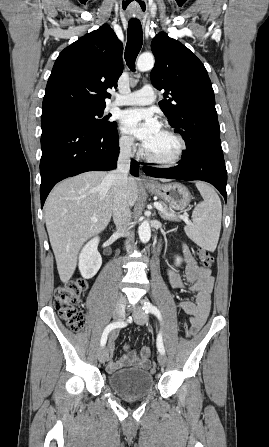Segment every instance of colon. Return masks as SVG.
<instances>
[{
	"label": "colon",
	"mask_w": 269,
	"mask_h": 447,
	"mask_svg": "<svg viewBox=\"0 0 269 447\" xmlns=\"http://www.w3.org/2000/svg\"><path fill=\"white\" fill-rule=\"evenodd\" d=\"M195 254L202 266L211 267L213 265L214 257L208 251L199 248ZM86 288L87 281L79 278L55 290V308L63 322L75 331H82L85 327V317L80 310V306L81 295ZM180 327L185 331L184 339H191L192 335L186 330L188 328L187 322L181 321ZM142 353H148V349H143ZM146 370L150 373H155L157 370L156 363H149L146 366Z\"/></svg>",
	"instance_id": "colon-1"
}]
</instances>
